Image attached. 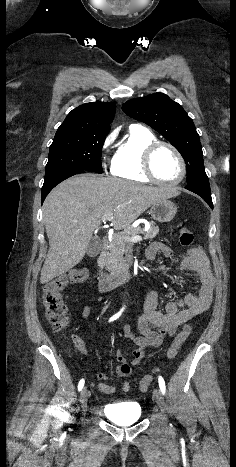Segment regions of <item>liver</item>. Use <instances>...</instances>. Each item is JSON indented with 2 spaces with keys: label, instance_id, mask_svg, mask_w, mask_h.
I'll return each instance as SVG.
<instances>
[{
  "label": "liver",
  "instance_id": "obj_1",
  "mask_svg": "<svg viewBox=\"0 0 236 467\" xmlns=\"http://www.w3.org/2000/svg\"><path fill=\"white\" fill-rule=\"evenodd\" d=\"M179 195L176 188L149 187L95 174H80L54 188L43 204L49 251L40 282L48 283L84 257L95 229L111 217L124 229L154 203Z\"/></svg>",
  "mask_w": 236,
  "mask_h": 467
}]
</instances>
